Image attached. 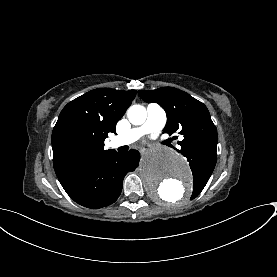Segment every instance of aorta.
Returning <instances> with one entry per match:
<instances>
[{"label":"aorta","mask_w":277,"mask_h":277,"mask_svg":"<svg viewBox=\"0 0 277 277\" xmlns=\"http://www.w3.org/2000/svg\"><path fill=\"white\" fill-rule=\"evenodd\" d=\"M147 117L146 109L133 105L128 119L133 125H141ZM139 173L148 193L155 200L169 204L186 201L192 191V179L186 159L166 148H155L143 158Z\"/></svg>","instance_id":"obj_1"}]
</instances>
